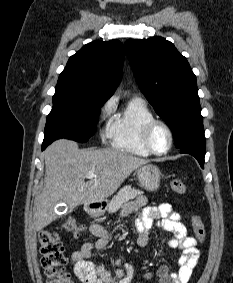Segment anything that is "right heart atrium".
<instances>
[{
    "label": "right heart atrium",
    "instance_id": "d8ad5b80",
    "mask_svg": "<svg viewBox=\"0 0 233 283\" xmlns=\"http://www.w3.org/2000/svg\"><path fill=\"white\" fill-rule=\"evenodd\" d=\"M113 108H114V105L111 100H107L106 102H104L99 110V114H98L99 119L101 121L107 119L113 112ZM100 136H101V139L105 141L109 137V128L103 129L101 131Z\"/></svg>",
    "mask_w": 233,
    "mask_h": 283
}]
</instances>
